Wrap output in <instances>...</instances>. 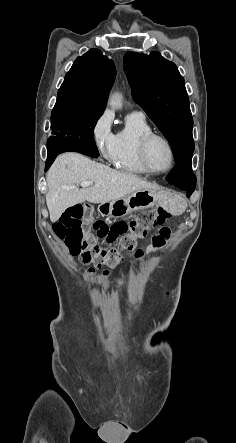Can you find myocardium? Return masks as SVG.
Instances as JSON below:
<instances>
[{
    "mask_svg": "<svg viewBox=\"0 0 236 443\" xmlns=\"http://www.w3.org/2000/svg\"><path fill=\"white\" fill-rule=\"evenodd\" d=\"M155 139H159V140L163 141L167 145L169 152H170V163L166 169L161 170V171L153 169L150 162H149V158H148L149 146H150L151 142ZM138 153H139V159H140L142 166L150 174H154V175L166 174L173 168L174 163H175L174 147H173L171 141L166 136H164L160 133L149 132V133L144 134L139 141Z\"/></svg>",
    "mask_w": 236,
    "mask_h": 443,
    "instance_id": "f54148a6",
    "label": "myocardium"
}]
</instances>
